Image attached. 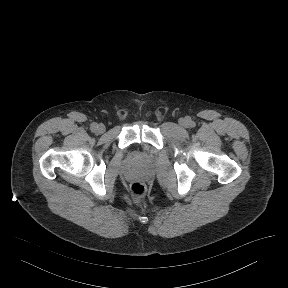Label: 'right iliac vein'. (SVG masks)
<instances>
[{
	"label": "right iliac vein",
	"instance_id": "1",
	"mask_svg": "<svg viewBox=\"0 0 288 288\" xmlns=\"http://www.w3.org/2000/svg\"><path fill=\"white\" fill-rule=\"evenodd\" d=\"M96 130L98 133H103L105 131V126L103 124H98Z\"/></svg>",
	"mask_w": 288,
	"mask_h": 288
}]
</instances>
